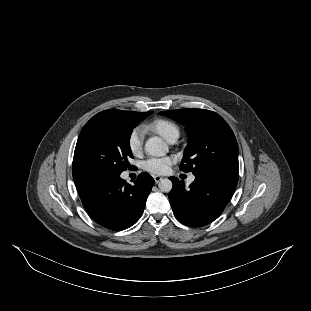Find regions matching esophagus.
I'll list each match as a JSON object with an SVG mask.
<instances>
[{"mask_svg":"<svg viewBox=\"0 0 311 311\" xmlns=\"http://www.w3.org/2000/svg\"><path fill=\"white\" fill-rule=\"evenodd\" d=\"M155 183H159L162 180V176H153Z\"/></svg>","mask_w":311,"mask_h":311,"instance_id":"1","label":"esophagus"}]
</instances>
